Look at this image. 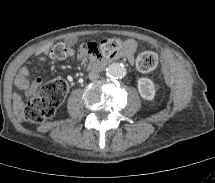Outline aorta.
I'll return each mask as SVG.
<instances>
[{"label":"aorta","instance_id":"762f6f07","mask_svg":"<svg viewBox=\"0 0 215 183\" xmlns=\"http://www.w3.org/2000/svg\"><path fill=\"white\" fill-rule=\"evenodd\" d=\"M106 73L110 77L122 78L126 75V68L121 63H113L106 68Z\"/></svg>","mask_w":215,"mask_h":183}]
</instances>
